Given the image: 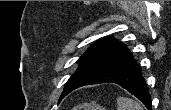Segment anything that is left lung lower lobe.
<instances>
[{
    "mask_svg": "<svg viewBox=\"0 0 171 110\" xmlns=\"http://www.w3.org/2000/svg\"><path fill=\"white\" fill-rule=\"evenodd\" d=\"M99 83H116L120 85L136 96L148 110H151L152 105L150 94L146 89L145 80L140 74V66L137 65L133 57H130L120 65L107 70L95 79L84 83L81 86Z\"/></svg>",
    "mask_w": 171,
    "mask_h": 110,
    "instance_id": "left-lung-lower-lobe-1",
    "label": "left lung lower lobe"
}]
</instances>
